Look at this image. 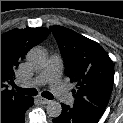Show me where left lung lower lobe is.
Masks as SVG:
<instances>
[{
  "instance_id": "0a47b994",
  "label": "left lung lower lobe",
  "mask_w": 123,
  "mask_h": 123,
  "mask_svg": "<svg viewBox=\"0 0 123 123\" xmlns=\"http://www.w3.org/2000/svg\"><path fill=\"white\" fill-rule=\"evenodd\" d=\"M98 120L80 114L69 106L62 104V113L59 117L53 119V123H97Z\"/></svg>"
}]
</instances>
